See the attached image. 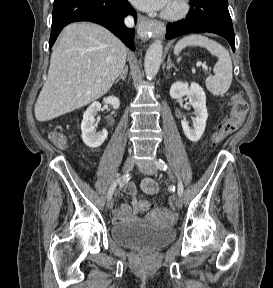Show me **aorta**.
Wrapping results in <instances>:
<instances>
[{
  "mask_svg": "<svg viewBox=\"0 0 273 288\" xmlns=\"http://www.w3.org/2000/svg\"><path fill=\"white\" fill-rule=\"evenodd\" d=\"M163 45L160 40L154 41L147 49L144 68L147 79L152 80L158 73L162 62Z\"/></svg>",
  "mask_w": 273,
  "mask_h": 288,
  "instance_id": "aorta-1",
  "label": "aorta"
}]
</instances>
